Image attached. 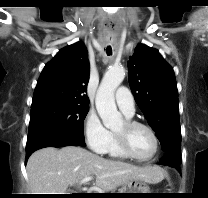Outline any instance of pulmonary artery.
I'll return each mask as SVG.
<instances>
[{
	"mask_svg": "<svg viewBox=\"0 0 208 198\" xmlns=\"http://www.w3.org/2000/svg\"><path fill=\"white\" fill-rule=\"evenodd\" d=\"M115 100L120 110L126 116H133L135 113V101L132 93L126 87H119L115 93Z\"/></svg>",
	"mask_w": 208,
	"mask_h": 198,
	"instance_id": "1",
	"label": "pulmonary artery"
}]
</instances>
